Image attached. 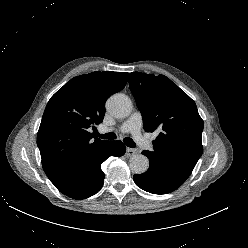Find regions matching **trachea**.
I'll use <instances>...</instances> for the list:
<instances>
[{"instance_id":"1","label":"trachea","mask_w":248,"mask_h":248,"mask_svg":"<svg viewBox=\"0 0 248 248\" xmlns=\"http://www.w3.org/2000/svg\"><path fill=\"white\" fill-rule=\"evenodd\" d=\"M96 135L102 139H108V140L116 139V135L113 132L106 133V134H99L98 132H96ZM123 141L127 147H130V148L136 147L135 142L129 137L124 138Z\"/></svg>"}]
</instances>
